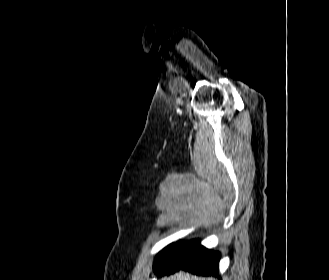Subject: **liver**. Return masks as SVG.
Wrapping results in <instances>:
<instances>
[{
    "instance_id": "1",
    "label": "liver",
    "mask_w": 329,
    "mask_h": 280,
    "mask_svg": "<svg viewBox=\"0 0 329 280\" xmlns=\"http://www.w3.org/2000/svg\"><path fill=\"white\" fill-rule=\"evenodd\" d=\"M162 280H213V279L197 278V277L191 276L189 273L179 272L178 274H176L174 276H170L168 278L165 277Z\"/></svg>"
}]
</instances>
